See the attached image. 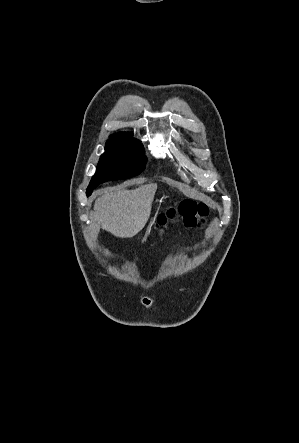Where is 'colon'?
<instances>
[{"instance_id": "obj_1", "label": "colon", "mask_w": 299, "mask_h": 443, "mask_svg": "<svg viewBox=\"0 0 299 443\" xmlns=\"http://www.w3.org/2000/svg\"><path fill=\"white\" fill-rule=\"evenodd\" d=\"M208 213L209 208L206 204L190 199L183 200L178 206L162 212L158 216L152 231H162L173 222H180L187 228L199 227Z\"/></svg>"}]
</instances>
